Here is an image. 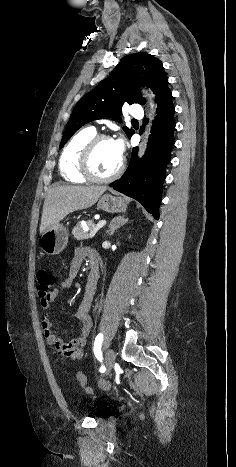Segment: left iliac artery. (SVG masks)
I'll return each mask as SVG.
<instances>
[{
    "label": "left iliac artery",
    "mask_w": 236,
    "mask_h": 467,
    "mask_svg": "<svg viewBox=\"0 0 236 467\" xmlns=\"http://www.w3.org/2000/svg\"><path fill=\"white\" fill-rule=\"evenodd\" d=\"M102 342H103V334L99 333L95 338L94 347H93L94 354L99 361L102 360V353H101ZM104 371H105V367L101 366L100 372H104Z\"/></svg>",
    "instance_id": "44dca946"
}]
</instances>
